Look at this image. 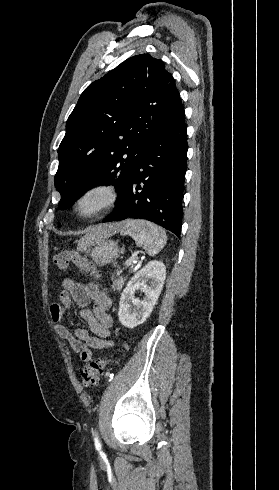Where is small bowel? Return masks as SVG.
I'll return each instance as SVG.
<instances>
[{
	"mask_svg": "<svg viewBox=\"0 0 279 490\" xmlns=\"http://www.w3.org/2000/svg\"><path fill=\"white\" fill-rule=\"evenodd\" d=\"M59 302L50 306L49 312L57 335L65 341L82 361L92 359V350H103L112 345V318L108 311L112 302L94 282L82 284L71 278L63 280ZM76 303L81 307L79 316L88 328L78 327L72 333L65 325V314ZM93 303V308L88 305Z\"/></svg>",
	"mask_w": 279,
	"mask_h": 490,
	"instance_id": "c3829d8e",
	"label": "small bowel"
}]
</instances>
